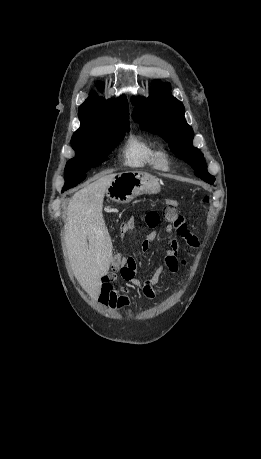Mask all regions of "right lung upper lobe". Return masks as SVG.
<instances>
[{"label": "right lung upper lobe", "instance_id": "obj_1", "mask_svg": "<svg viewBox=\"0 0 261 459\" xmlns=\"http://www.w3.org/2000/svg\"><path fill=\"white\" fill-rule=\"evenodd\" d=\"M80 128L73 134L103 129L129 123L128 102L125 96L118 100H105L91 93L90 97L79 107Z\"/></svg>", "mask_w": 261, "mask_h": 459}]
</instances>
